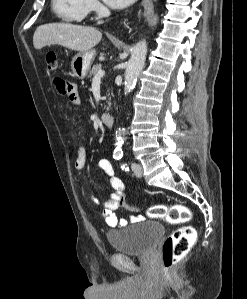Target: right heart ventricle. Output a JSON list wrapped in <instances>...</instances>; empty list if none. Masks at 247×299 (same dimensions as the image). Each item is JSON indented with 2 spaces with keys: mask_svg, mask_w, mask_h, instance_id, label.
Wrapping results in <instances>:
<instances>
[{
  "mask_svg": "<svg viewBox=\"0 0 247 299\" xmlns=\"http://www.w3.org/2000/svg\"><path fill=\"white\" fill-rule=\"evenodd\" d=\"M51 7L60 21L79 23L89 12V0H52Z\"/></svg>",
  "mask_w": 247,
  "mask_h": 299,
  "instance_id": "obj_1",
  "label": "right heart ventricle"
}]
</instances>
